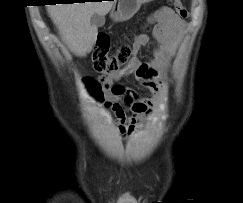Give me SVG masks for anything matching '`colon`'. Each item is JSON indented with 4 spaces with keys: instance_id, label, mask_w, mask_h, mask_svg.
Instances as JSON below:
<instances>
[{
    "instance_id": "obj_1",
    "label": "colon",
    "mask_w": 243,
    "mask_h": 203,
    "mask_svg": "<svg viewBox=\"0 0 243 203\" xmlns=\"http://www.w3.org/2000/svg\"><path fill=\"white\" fill-rule=\"evenodd\" d=\"M178 16L185 19L188 16V11L182 4L181 0H167ZM149 27H145V31H149ZM132 35L128 37L129 40ZM131 46L124 42L121 43L114 52H110V40L107 35L100 34L93 50V66L97 72L114 74L122 71L131 61ZM83 83L86 89L96 100L103 98L104 87L100 81L92 77H85Z\"/></svg>"
}]
</instances>
